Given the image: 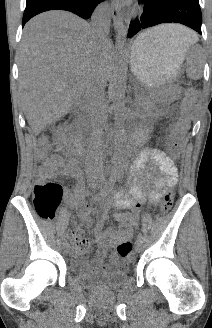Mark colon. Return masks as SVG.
Here are the masks:
<instances>
[{"label": "colon", "instance_id": "colon-1", "mask_svg": "<svg viewBox=\"0 0 212 328\" xmlns=\"http://www.w3.org/2000/svg\"><path fill=\"white\" fill-rule=\"evenodd\" d=\"M198 98V91L191 87L188 88L182 102V109L187 112ZM188 130L186 120H180L172 130L169 141V149L171 153L178 156L181 152V143ZM49 151V144L46 140H41L37 147L39 157L44 158ZM63 196V188L55 182H39L33 189V204L37 215L45 220H51L55 217L58 208L61 205ZM174 201V194L168 190L161 204V211L168 213ZM74 242L78 239V234L73 236ZM117 252L122 258L133 259L132 244L128 239H123L117 244Z\"/></svg>", "mask_w": 212, "mask_h": 328}]
</instances>
